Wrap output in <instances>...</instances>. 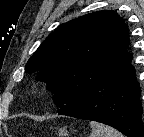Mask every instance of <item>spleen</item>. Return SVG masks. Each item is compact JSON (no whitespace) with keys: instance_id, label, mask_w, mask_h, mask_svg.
Wrapping results in <instances>:
<instances>
[{"instance_id":"spleen-1","label":"spleen","mask_w":144,"mask_h":137,"mask_svg":"<svg viewBox=\"0 0 144 137\" xmlns=\"http://www.w3.org/2000/svg\"><path fill=\"white\" fill-rule=\"evenodd\" d=\"M92 132L90 137H123L116 129L98 122H90Z\"/></svg>"}]
</instances>
